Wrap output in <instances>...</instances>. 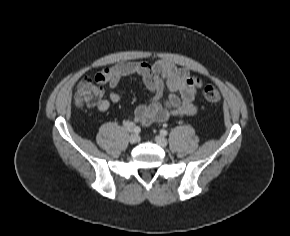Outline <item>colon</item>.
<instances>
[{
	"label": "colon",
	"mask_w": 290,
	"mask_h": 236,
	"mask_svg": "<svg viewBox=\"0 0 290 236\" xmlns=\"http://www.w3.org/2000/svg\"><path fill=\"white\" fill-rule=\"evenodd\" d=\"M102 81L99 77H86L82 79L75 88V103L79 107H93L97 103L100 95ZM205 101L216 103L221 100V94L217 87L207 85L202 90Z\"/></svg>",
	"instance_id": "colon-1"
}]
</instances>
